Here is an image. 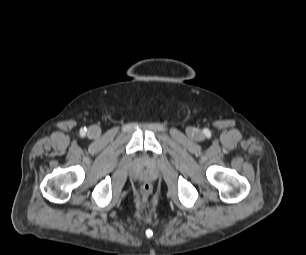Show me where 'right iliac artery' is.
Returning <instances> with one entry per match:
<instances>
[{
  "label": "right iliac artery",
  "mask_w": 306,
  "mask_h": 255,
  "mask_svg": "<svg viewBox=\"0 0 306 255\" xmlns=\"http://www.w3.org/2000/svg\"><path fill=\"white\" fill-rule=\"evenodd\" d=\"M85 133H86V129H85V128L80 130V134H81L82 136H84Z\"/></svg>",
  "instance_id": "1"
}]
</instances>
